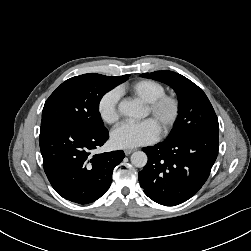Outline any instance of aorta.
I'll list each match as a JSON object with an SVG mask.
<instances>
[{"label":"aorta","mask_w":251,"mask_h":251,"mask_svg":"<svg viewBox=\"0 0 251 251\" xmlns=\"http://www.w3.org/2000/svg\"><path fill=\"white\" fill-rule=\"evenodd\" d=\"M119 112L127 117L138 118L141 114L140 106L133 101H122L118 106ZM131 163L142 168L147 163V155L143 151H136L131 155Z\"/></svg>","instance_id":"1"}]
</instances>
